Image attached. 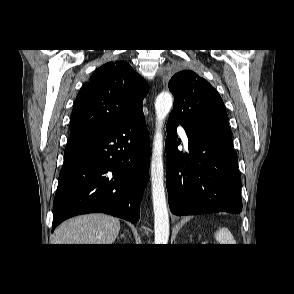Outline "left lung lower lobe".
<instances>
[{
  "label": "left lung lower lobe",
  "mask_w": 294,
  "mask_h": 294,
  "mask_svg": "<svg viewBox=\"0 0 294 294\" xmlns=\"http://www.w3.org/2000/svg\"><path fill=\"white\" fill-rule=\"evenodd\" d=\"M178 122L169 118L165 141L166 186L173 214L242 211L241 177L232 135L186 130L188 153L177 149Z\"/></svg>",
  "instance_id": "obj_1"
}]
</instances>
